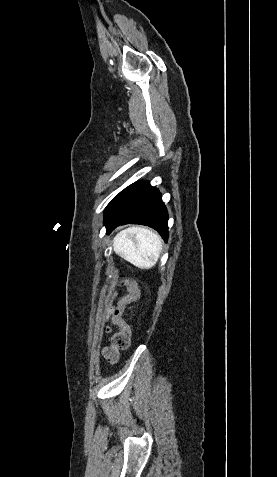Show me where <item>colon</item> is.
I'll return each instance as SVG.
<instances>
[{"label":"colon","instance_id":"obj_1","mask_svg":"<svg viewBox=\"0 0 277 477\" xmlns=\"http://www.w3.org/2000/svg\"><path fill=\"white\" fill-rule=\"evenodd\" d=\"M123 282L128 284V291L125 292L122 299L116 302L111 319V324L120 326V329L111 337L110 345L103 350L104 359L109 363L117 362L119 352L126 350L130 344L131 330L123 319V312L127 311L131 303L139 304L141 302L142 291L140 286L132 279H125Z\"/></svg>","mask_w":277,"mask_h":477}]
</instances>
